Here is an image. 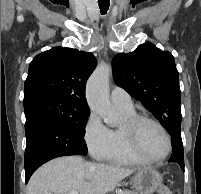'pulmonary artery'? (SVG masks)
<instances>
[{
  "instance_id": "e3ab8cb5",
  "label": "pulmonary artery",
  "mask_w": 201,
  "mask_h": 194,
  "mask_svg": "<svg viewBox=\"0 0 201 194\" xmlns=\"http://www.w3.org/2000/svg\"><path fill=\"white\" fill-rule=\"evenodd\" d=\"M112 104L117 108L134 109L131 96L122 88L114 87L110 94Z\"/></svg>"
}]
</instances>
